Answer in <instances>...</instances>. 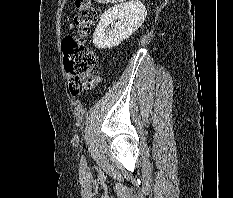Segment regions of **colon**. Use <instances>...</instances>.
<instances>
[{"label": "colon", "mask_w": 233, "mask_h": 198, "mask_svg": "<svg viewBox=\"0 0 233 198\" xmlns=\"http://www.w3.org/2000/svg\"><path fill=\"white\" fill-rule=\"evenodd\" d=\"M76 8L73 26L77 35L66 36L62 41V50L70 90L79 94L95 87L99 80L95 72L96 56L82 39L96 23L99 10L91 0H76Z\"/></svg>", "instance_id": "colon-1"}]
</instances>
